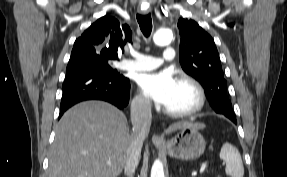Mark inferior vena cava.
Returning a JSON list of instances; mask_svg holds the SVG:
<instances>
[{"instance_id":"1","label":"inferior vena cava","mask_w":287,"mask_h":177,"mask_svg":"<svg viewBox=\"0 0 287 177\" xmlns=\"http://www.w3.org/2000/svg\"><path fill=\"white\" fill-rule=\"evenodd\" d=\"M151 101L149 98H139L131 104V121L133 125L132 142L128 150L124 166L125 174L132 177L141 157L144 139L148 136L151 126Z\"/></svg>"}]
</instances>
